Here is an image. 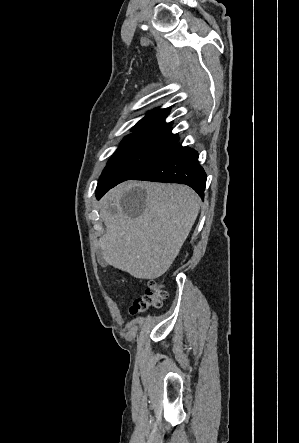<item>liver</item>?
Returning <instances> with one entry per match:
<instances>
[{"label": "liver", "instance_id": "obj_1", "mask_svg": "<svg viewBox=\"0 0 299 443\" xmlns=\"http://www.w3.org/2000/svg\"><path fill=\"white\" fill-rule=\"evenodd\" d=\"M199 209L198 195L183 185L131 182L110 190L100 208L105 262L135 278L160 277L177 257Z\"/></svg>", "mask_w": 299, "mask_h": 443}]
</instances>
